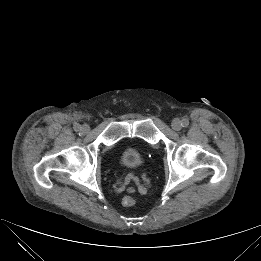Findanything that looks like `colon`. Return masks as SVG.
<instances>
[{
	"label": "colon",
	"instance_id": "obj_1",
	"mask_svg": "<svg viewBox=\"0 0 261 261\" xmlns=\"http://www.w3.org/2000/svg\"><path fill=\"white\" fill-rule=\"evenodd\" d=\"M136 203V199L132 196H125L123 199H122V204L126 207H131V206H134Z\"/></svg>",
	"mask_w": 261,
	"mask_h": 261
}]
</instances>
